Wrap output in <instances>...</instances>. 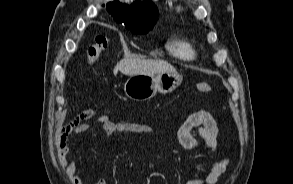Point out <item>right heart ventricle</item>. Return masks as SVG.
I'll list each match as a JSON object with an SVG mask.
<instances>
[{"instance_id":"e07e8e85","label":"right heart ventricle","mask_w":293,"mask_h":184,"mask_svg":"<svg viewBox=\"0 0 293 184\" xmlns=\"http://www.w3.org/2000/svg\"><path fill=\"white\" fill-rule=\"evenodd\" d=\"M168 50L171 55L182 60H192L197 51L193 44L184 38H178L169 44Z\"/></svg>"}]
</instances>
